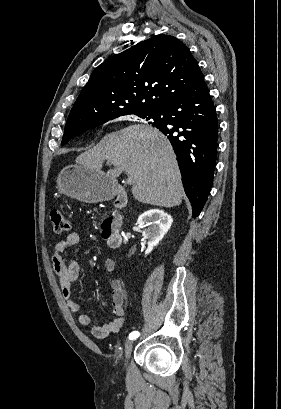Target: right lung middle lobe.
Returning a JSON list of instances; mask_svg holds the SVG:
<instances>
[{"instance_id":"obj_1","label":"right lung middle lobe","mask_w":281,"mask_h":409,"mask_svg":"<svg viewBox=\"0 0 281 409\" xmlns=\"http://www.w3.org/2000/svg\"><path fill=\"white\" fill-rule=\"evenodd\" d=\"M128 114H135V115H137V116H139V117H141V118H143V119H146V120L153 119L154 122H155V120H157V115H156V113H155V112H149V111L125 112V113L113 115V116H110V117H108V118H105V119H103V120H100V121H98V122H96V123H93V124H91V125H88V126H84V127H68V128H65V132H64V136H63L61 145L66 144V143H67L68 141H70L74 136H76V135H78V134H80V133H82V132H84V131H86V130H89V129H92V128H94V127H97V126H99V125H101V124H103V123H105V122H107V121H109V120L115 119V118H117V117H119V116L128 115Z\"/></svg>"}]
</instances>
